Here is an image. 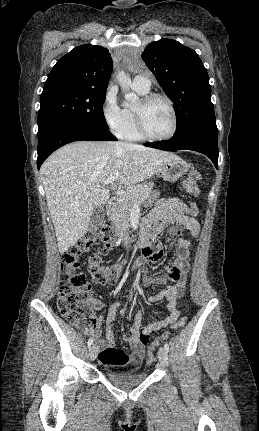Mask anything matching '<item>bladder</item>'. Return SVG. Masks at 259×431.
Masks as SVG:
<instances>
[{"label":"bladder","mask_w":259,"mask_h":431,"mask_svg":"<svg viewBox=\"0 0 259 431\" xmlns=\"http://www.w3.org/2000/svg\"><path fill=\"white\" fill-rule=\"evenodd\" d=\"M105 376L119 386H129L144 381L148 377L146 371L106 369Z\"/></svg>","instance_id":"obj_1"}]
</instances>
